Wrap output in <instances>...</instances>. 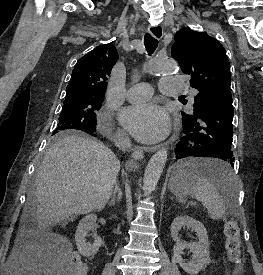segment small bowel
Segmentation results:
<instances>
[{
	"label": "small bowel",
	"instance_id": "c3829d8e",
	"mask_svg": "<svg viewBox=\"0 0 263 275\" xmlns=\"http://www.w3.org/2000/svg\"><path fill=\"white\" fill-rule=\"evenodd\" d=\"M54 249V246L46 245L36 250L27 261L29 275H58L60 259Z\"/></svg>",
	"mask_w": 263,
	"mask_h": 275
}]
</instances>
